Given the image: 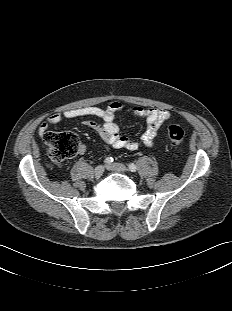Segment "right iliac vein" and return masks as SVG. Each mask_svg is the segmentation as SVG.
Returning a JSON list of instances; mask_svg holds the SVG:
<instances>
[{
	"instance_id": "1",
	"label": "right iliac vein",
	"mask_w": 232,
	"mask_h": 311,
	"mask_svg": "<svg viewBox=\"0 0 232 311\" xmlns=\"http://www.w3.org/2000/svg\"><path fill=\"white\" fill-rule=\"evenodd\" d=\"M105 171V167L103 165H99L94 169V174L96 177H100L103 175Z\"/></svg>"
}]
</instances>
